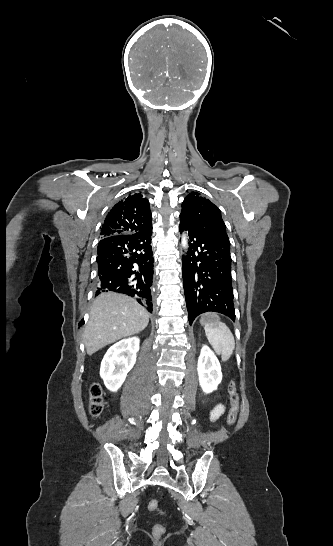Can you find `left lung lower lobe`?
Here are the masks:
<instances>
[{
	"mask_svg": "<svg viewBox=\"0 0 333 546\" xmlns=\"http://www.w3.org/2000/svg\"><path fill=\"white\" fill-rule=\"evenodd\" d=\"M179 231L188 240L182 256L184 292L190 325L205 312L235 320L230 242L226 232L194 226L180 218Z\"/></svg>",
	"mask_w": 333,
	"mask_h": 546,
	"instance_id": "obj_1",
	"label": "left lung lower lobe"
}]
</instances>
